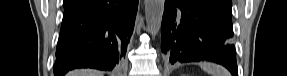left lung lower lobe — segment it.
Masks as SVG:
<instances>
[{"mask_svg":"<svg viewBox=\"0 0 287 76\" xmlns=\"http://www.w3.org/2000/svg\"><path fill=\"white\" fill-rule=\"evenodd\" d=\"M161 50L171 64L208 60L237 75L231 17L200 0H165Z\"/></svg>","mask_w":287,"mask_h":76,"instance_id":"left-lung-lower-lobe-1","label":"left lung lower lobe"}]
</instances>
